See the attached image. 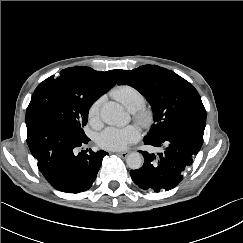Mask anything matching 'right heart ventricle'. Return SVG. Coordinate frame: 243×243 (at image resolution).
Wrapping results in <instances>:
<instances>
[{
	"instance_id": "e07e8e85",
	"label": "right heart ventricle",
	"mask_w": 243,
	"mask_h": 243,
	"mask_svg": "<svg viewBox=\"0 0 243 243\" xmlns=\"http://www.w3.org/2000/svg\"><path fill=\"white\" fill-rule=\"evenodd\" d=\"M111 95L131 111L136 110L145 101L143 94L131 85L116 86L111 91Z\"/></svg>"
}]
</instances>
